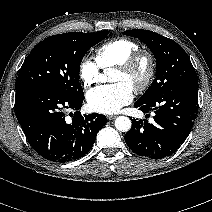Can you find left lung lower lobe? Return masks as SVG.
Returning <instances> with one entry per match:
<instances>
[{
	"label": "left lung lower lobe",
	"mask_w": 212,
	"mask_h": 212,
	"mask_svg": "<svg viewBox=\"0 0 212 212\" xmlns=\"http://www.w3.org/2000/svg\"><path fill=\"white\" fill-rule=\"evenodd\" d=\"M144 113L154 111L153 123L132 120L125 135L128 147L139 156L161 159L176 152L187 138L198 111V83L177 87L149 103L134 104Z\"/></svg>",
	"instance_id": "left-lung-lower-lobe-1"
}]
</instances>
